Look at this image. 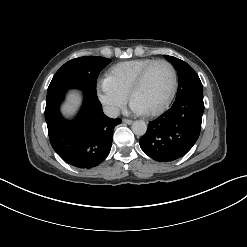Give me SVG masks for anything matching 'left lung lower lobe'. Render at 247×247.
<instances>
[{"label": "left lung lower lobe", "instance_id": "obj_1", "mask_svg": "<svg viewBox=\"0 0 247 247\" xmlns=\"http://www.w3.org/2000/svg\"><path fill=\"white\" fill-rule=\"evenodd\" d=\"M203 111V92L179 96L169 110L149 122L139 141L141 149L159 162L182 157L199 137Z\"/></svg>", "mask_w": 247, "mask_h": 247}]
</instances>
